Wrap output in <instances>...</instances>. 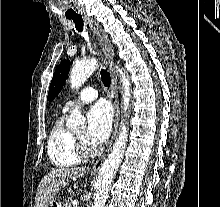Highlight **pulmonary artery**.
<instances>
[{
  "label": "pulmonary artery",
  "instance_id": "1",
  "mask_svg": "<svg viewBox=\"0 0 220 207\" xmlns=\"http://www.w3.org/2000/svg\"><path fill=\"white\" fill-rule=\"evenodd\" d=\"M98 97V91L92 86H87L80 91L76 98L69 100L65 103L63 111L67 112L70 108L76 104L88 103L95 100Z\"/></svg>",
  "mask_w": 220,
  "mask_h": 207
}]
</instances>
